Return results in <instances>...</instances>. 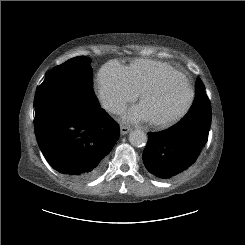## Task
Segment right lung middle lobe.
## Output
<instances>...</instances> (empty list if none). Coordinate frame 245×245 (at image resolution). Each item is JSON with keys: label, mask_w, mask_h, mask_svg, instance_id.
<instances>
[{"label": "right lung middle lobe", "mask_w": 245, "mask_h": 245, "mask_svg": "<svg viewBox=\"0 0 245 245\" xmlns=\"http://www.w3.org/2000/svg\"><path fill=\"white\" fill-rule=\"evenodd\" d=\"M89 65L86 57H76L50 70L39 87L36 127L65 112L100 107L92 89L93 74Z\"/></svg>", "instance_id": "dd1d6c3e"}]
</instances>
